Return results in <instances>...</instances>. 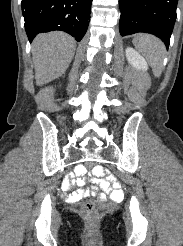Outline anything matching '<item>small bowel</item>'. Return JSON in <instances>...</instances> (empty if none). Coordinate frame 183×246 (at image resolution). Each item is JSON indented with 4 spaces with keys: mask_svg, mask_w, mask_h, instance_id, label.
Segmentation results:
<instances>
[{
    "mask_svg": "<svg viewBox=\"0 0 183 246\" xmlns=\"http://www.w3.org/2000/svg\"><path fill=\"white\" fill-rule=\"evenodd\" d=\"M81 171V172H80ZM91 171L94 173L90 174L91 183H94L93 191L102 190V197H110L113 200L120 199L123 196V192L120 188L119 182L115 179L114 175H107L106 179H102L103 174H111V169H105V167H92ZM86 173L85 167L79 165L75 168L76 175H83ZM66 179L63 184H60V189L68 190L74 189V184L78 186L84 185V179L73 178V174H66ZM88 190L79 188L75 193L69 196V199L77 201L88 194Z\"/></svg>",
    "mask_w": 183,
    "mask_h": 246,
    "instance_id": "c3829d8e",
    "label": "small bowel"
}]
</instances>
